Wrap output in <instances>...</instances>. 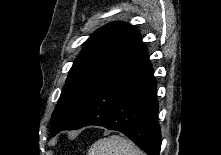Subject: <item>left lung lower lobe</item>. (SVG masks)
<instances>
[{
	"label": "left lung lower lobe",
	"instance_id": "1",
	"mask_svg": "<svg viewBox=\"0 0 221 155\" xmlns=\"http://www.w3.org/2000/svg\"><path fill=\"white\" fill-rule=\"evenodd\" d=\"M157 112L156 80L144 47L99 85L63 130L103 126L122 132L147 155H159L161 130Z\"/></svg>",
	"mask_w": 221,
	"mask_h": 155
}]
</instances>
